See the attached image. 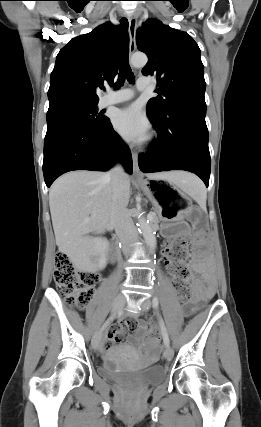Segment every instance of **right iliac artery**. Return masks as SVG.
<instances>
[{
	"instance_id": "82829eb1",
	"label": "right iliac artery",
	"mask_w": 261,
	"mask_h": 427,
	"mask_svg": "<svg viewBox=\"0 0 261 427\" xmlns=\"http://www.w3.org/2000/svg\"><path fill=\"white\" fill-rule=\"evenodd\" d=\"M113 319H114V316L110 317V318L106 321V323L104 324L103 328H105V327L110 323V321H112Z\"/></svg>"
}]
</instances>
